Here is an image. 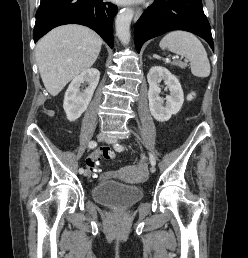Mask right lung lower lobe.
Wrapping results in <instances>:
<instances>
[{"mask_svg": "<svg viewBox=\"0 0 248 258\" xmlns=\"http://www.w3.org/2000/svg\"><path fill=\"white\" fill-rule=\"evenodd\" d=\"M117 11V6L103 0H41L36 12L34 41L57 26L81 24L96 31L112 48V25Z\"/></svg>", "mask_w": 248, "mask_h": 258, "instance_id": "right-lung-lower-lobe-1", "label": "right lung lower lobe"}]
</instances>
